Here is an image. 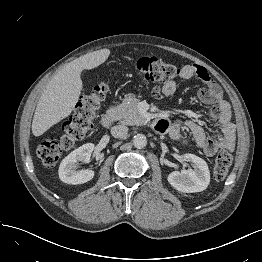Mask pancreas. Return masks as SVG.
<instances>
[{
  "label": "pancreas",
  "instance_id": "pancreas-1",
  "mask_svg": "<svg viewBox=\"0 0 262 262\" xmlns=\"http://www.w3.org/2000/svg\"><path fill=\"white\" fill-rule=\"evenodd\" d=\"M139 99L129 94L123 102L112 109L114 117L126 125H140L144 122L143 115L138 110Z\"/></svg>",
  "mask_w": 262,
  "mask_h": 262
}]
</instances>
